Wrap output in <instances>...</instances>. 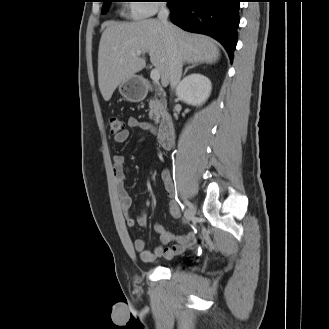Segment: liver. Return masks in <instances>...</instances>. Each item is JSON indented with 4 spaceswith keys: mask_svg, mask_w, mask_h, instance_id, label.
<instances>
[{
    "mask_svg": "<svg viewBox=\"0 0 329 329\" xmlns=\"http://www.w3.org/2000/svg\"><path fill=\"white\" fill-rule=\"evenodd\" d=\"M175 30V46L185 63H214L220 51L215 42L203 35ZM174 45L157 19L135 22L107 23L98 50V84L105 101H109L115 89L141 71L149 53L150 61L159 70L161 83H169L170 61ZM140 53V55L138 54Z\"/></svg>",
    "mask_w": 329,
    "mask_h": 329,
    "instance_id": "liver-1",
    "label": "liver"
}]
</instances>
